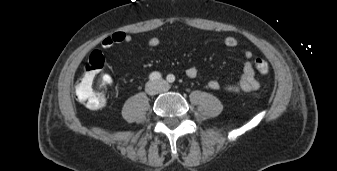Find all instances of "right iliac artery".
<instances>
[{
    "label": "right iliac artery",
    "instance_id": "obj_1",
    "mask_svg": "<svg viewBox=\"0 0 337 171\" xmlns=\"http://www.w3.org/2000/svg\"><path fill=\"white\" fill-rule=\"evenodd\" d=\"M149 79L151 81H157V80H160L161 79V74L159 72H152L150 75H149Z\"/></svg>",
    "mask_w": 337,
    "mask_h": 171
}]
</instances>
